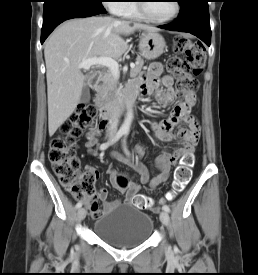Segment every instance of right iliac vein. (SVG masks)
I'll list each match as a JSON object with an SVG mask.
<instances>
[{"label": "right iliac vein", "instance_id": "1", "mask_svg": "<svg viewBox=\"0 0 258 275\" xmlns=\"http://www.w3.org/2000/svg\"><path fill=\"white\" fill-rule=\"evenodd\" d=\"M86 209L85 208H80L79 210H78V219L81 221V220H83L85 217H86Z\"/></svg>", "mask_w": 258, "mask_h": 275}]
</instances>
